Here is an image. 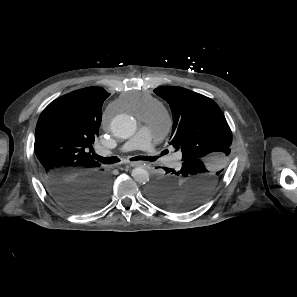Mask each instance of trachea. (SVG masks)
I'll use <instances>...</instances> for the list:
<instances>
[{
  "label": "trachea",
  "mask_w": 297,
  "mask_h": 297,
  "mask_svg": "<svg viewBox=\"0 0 297 297\" xmlns=\"http://www.w3.org/2000/svg\"><path fill=\"white\" fill-rule=\"evenodd\" d=\"M93 158L98 160L99 162L103 164H114L120 161L118 157H102L99 156L95 153H93ZM157 158L156 157H148V156H136L131 158V161H155Z\"/></svg>",
  "instance_id": "1"
}]
</instances>
